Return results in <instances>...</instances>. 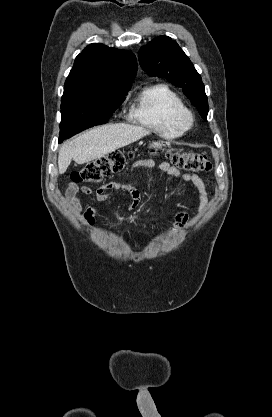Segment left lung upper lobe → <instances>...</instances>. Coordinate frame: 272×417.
I'll list each match as a JSON object with an SVG mask.
<instances>
[{"label": "left lung upper lobe", "mask_w": 272, "mask_h": 417, "mask_svg": "<svg viewBox=\"0 0 272 417\" xmlns=\"http://www.w3.org/2000/svg\"><path fill=\"white\" fill-rule=\"evenodd\" d=\"M138 58L141 67L153 76L166 77L197 107L202 118L207 120L208 100L200 74L176 41L159 36L140 48Z\"/></svg>", "instance_id": "5c2ea615"}]
</instances>
